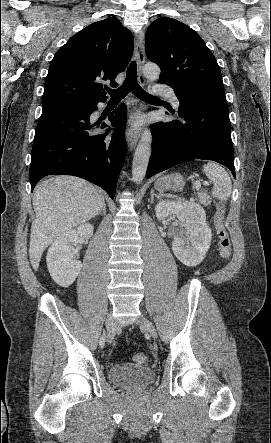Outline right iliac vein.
<instances>
[{
    "label": "right iliac vein",
    "instance_id": "obj_1",
    "mask_svg": "<svg viewBox=\"0 0 271 443\" xmlns=\"http://www.w3.org/2000/svg\"><path fill=\"white\" fill-rule=\"evenodd\" d=\"M106 328H107V342L110 344L113 341L116 334V325L111 315H108L106 319Z\"/></svg>",
    "mask_w": 271,
    "mask_h": 443
}]
</instances>
